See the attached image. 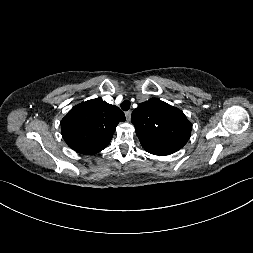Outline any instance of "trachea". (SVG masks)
Masks as SVG:
<instances>
[{"mask_svg":"<svg viewBox=\"0 0 253 253\" xmlns=\"http://www.w3.org/2000/svg\"><path fill=\"white\" fill-rule=\"evenodd\" d=\"M130 105H131V103H130L129 100H124V101L121 103V109H122L123 111H128L129 108H130Z\"/></svg>","mask_w":253,"mask_h":253,"instance_id":"trachea-1","label":"trachea"}]
</instances>
